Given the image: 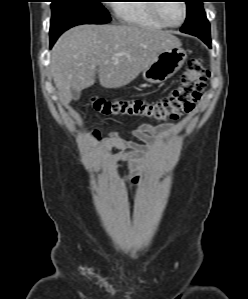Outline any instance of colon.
<instances>
[{
    "instance_id": "5ec220e1",
    "label": "colon",
    "mask_w": 248,
    "mask_h": 299,
    "mask_svg": "<svg viewBox=\"0 0 248 299\" xmlns=\"http://www.w3.org/2000/svg\"><path fill=\"white\" fill-rule=\"evenodd\" d=\"M208 79L209 71L203 61L194 58L189 61L179 85L159 101L152 103L141 100L108 101L95 97L91 100V104L104 116L141 117L155 122L176 120L193 110Z\"/></svg>"
}]
</instances>
